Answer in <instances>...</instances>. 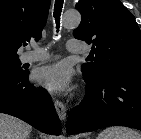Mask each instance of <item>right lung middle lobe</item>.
Returning a JSON list of instances; mask_svg holds the SVG:
<instances>
[{
    "label": "right lung middle lobe",
    "instance_id": "obj_1",
    "mask_svg": "<svg viewBox=\"0 0 141 139\" xmlns=\"http://www.w3.org/2000/svg\"><path fill=\"white\" fill-rule=\"evenodd\" d=\"M19 57L0 56V78H11L25 74Z\"/></svg>",
    "mask_w": 141,
    "mask_h": 139
}]
</instances>
